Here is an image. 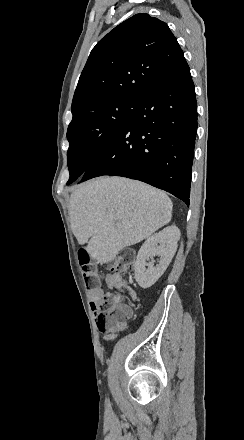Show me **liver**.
Masks as SVG:
<instances>
[{
  "mask_svg": "<svg viewBox=\"0 0 244 440\" xmlns=\"http://www.w3.org/2000/svg\"><path fill=\"white\" fill-rule=\"evenodd\" d=\"M172 210L165 192L118 176L89 180L72 192L69 202L71 230L100 264L169 224Z\"/></svg>",
  "mask_w": 244,
  "mask_h": 440,
  "instance_id": "1",
  "label": "liver"
}]
</instances>
